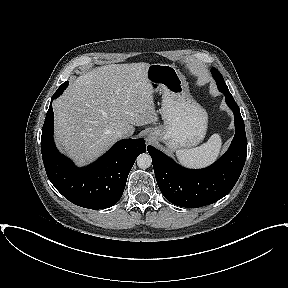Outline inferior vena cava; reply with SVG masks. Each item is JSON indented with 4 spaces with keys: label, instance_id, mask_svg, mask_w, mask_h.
<instances>
[{
    "label": "inferior vena cava",
    "instance_id": "602c4592",
    "mask_svg": "<svg viewBox=\"0 0 288 288\" xmlns=\"http://www.w3.org/2000/svg\"><path fill=\"white\" fill-rule=\"evenodd\" d=\"M115 135H116L118 138L127 137L126 132H125L123 129L117 130V131L115 132Z\"/></svg>",
    "mask_w": 288,
    "mask_h": 288
}]
</instances>
